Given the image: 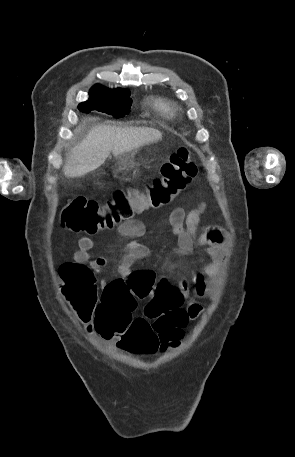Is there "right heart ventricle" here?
Returning <instances> with one entry per match:
<instances>
[{
	"instance_id": "e07e8e85",
	"label": "right heart ventricle",
	"mask_w": 295,
	"mask_h": 457,
	"mask_svg": "<svg viewBox=\"0 0 295 457\" xmlns=\"http://www.w3.org/2000/svg\"><path fill=\"white\" fill-rule=\"evenodd\" d=\"M154 107L161 113L165 114V115H172L173 114V108L172 106L162 100V99H156L153 103Z\"/></svg>"
}]
</instances>
